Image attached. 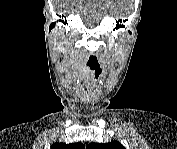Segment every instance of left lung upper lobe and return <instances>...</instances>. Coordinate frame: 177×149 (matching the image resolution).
<instances>
[{"mask_svg":"<svg viewBox=\"0 0 177 149\" xmlns=\"http://www.w3.org/2000/svg\"><path fill=\"white\" fill-rule=\"evenodd\" d=\"M87 148L89 149H125L118 141H112L106 144L90 143Z\"/></svg>","mask_w":177,"mask_h":149,"instance_id":"5c2ea615","label":"left lung upper lobe"}]
</instances>
